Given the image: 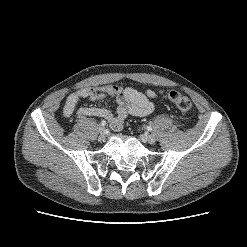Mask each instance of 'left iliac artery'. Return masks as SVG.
Listing matches in <instances>:
<instances>
[{"mask_svg":"<svg viewBox=\"0 0 247 247\" xmlns=\"http://www.w3.org/2000/svg\"><path fill=\"white\" fill-rule=\"evenodd\" d=\"M148 131H151L152 130V127L151 126H147L146 128Z\"/></svg>","mask_w":247,"mask_h":247,"instance_id":"left-iliac-artery-1","label":"left iliac artery"}]
</instances>
